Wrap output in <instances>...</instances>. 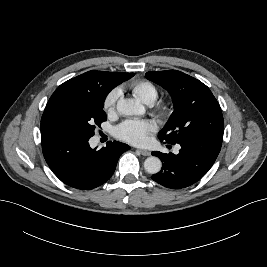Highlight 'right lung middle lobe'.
<instances>
[{"label":"right lung middle lobe","mask_w":267,"mask_h":267,"mask_svg":"<svg viewBox=\"0 0 267 267\" xmlns=\"http://www.w3.org/2000/svg\"><path fill=\"white\" fill-rule=\"evenodd\" d=\"M134 73L123 81L130 79ZM108 91H55L50 97L41 118V127H51L84 137H92L95 128L106 121L103 111Z\"/></svg>","instance_id":"right-lung-middle-lobe-1"}]
</instances>
